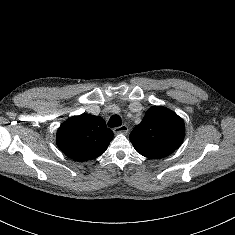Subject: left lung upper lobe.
<instances>
[{
	"label": "left lung upper lobe",
	"instance_id": "obj_1",
	"mask_svg": "<svg viewBox=\"0 0 235 235\" xmlns=\"http://www.w3.org/2000/svg\"><path fill=\"white\" fill-rule=\"evenodd\" d=\"M185 125L181 117L168 108L153 106L129 136L138 153L148 158L170 155L183 142Z\"/></svg>",
	"mask_w": 235,
	"mask_h": 235
}]
</instances>
